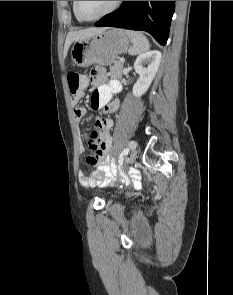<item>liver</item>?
I'll return each mask as SVG.
<instances>
[{
  "instance_id": "1",
  "label": "liver",
  "mask_w": 233,
  "mask_h": 295,
  "mask_svg": "<svg viewBox=\"0 0 233 295\" xmlns=\"http://www.w3.org/2000/svg\"><path fill=\"white\" fill-rule=\"evenodd\" d=\"M104 29L105 28H88L85 30L69 32L67 34L65 45H64V52H63L64 58L66 57L68 49L73 42L91 37L101 32Z\"/></svg>"
}]
</instances>
